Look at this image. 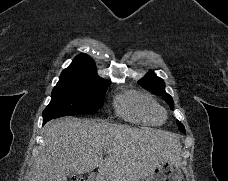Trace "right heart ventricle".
<instances>
[{"mask_svg": "<svg viewBox=\"0 0 228 181\" xmlns=\"http://www.w3.org/2000/svg\"><path fill=\"white\" fill-rule=\"evenodd\" d=\"M118 113L125 119L145 124H157L164 116L155 102L138 94L123 97L118 105Z\"/></svg>", "mask_w": 228, "mask_h": 181, "instance_id": "1", "label": "right heart ventricle"}]
</instances>
